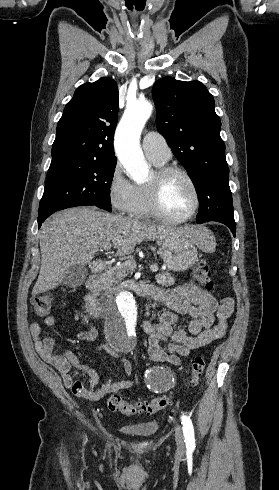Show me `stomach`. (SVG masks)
<instances>
[{
    "label": "stomach",
    "instance_id": "1",
    "mask_svg": "<svg viewBox=\"0 0 279 490\" xmlns=\"http://www.w3.org/2000/svg\"><path fill=\"white\" fill-rule=\"evenodd\" d=\"M158 254L171 272H186L198 262L196 242L181 234L166 236Z\"/></svg>",
    "mask_w": 279,
    "mask_h": 490
}]
</instances>
